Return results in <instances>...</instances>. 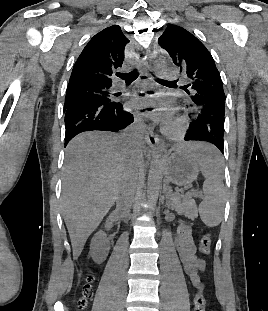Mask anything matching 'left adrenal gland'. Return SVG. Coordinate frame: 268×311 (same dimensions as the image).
Wrapping results in <instances>:
<instances>
[{
	"mask_svg": "<svg viewBox=\"0 0 268 311\" xmlns=\"http://www.w3.org/2000/svg\"><path fill=\"white\" fill-rule=\"evenodd\" d=\"M163 192L165 194V197L166 199L169 198V195H170V191L168 189V186H167V183L165 182L164 185H163ZM168 206V203H166L165 207Z\"/></svg>",
	"mask_w": 268,
	"mask_h": 311,
	"instance_id": "a2214340",
	"label": "left adrenal gland"
}]
</instances>
